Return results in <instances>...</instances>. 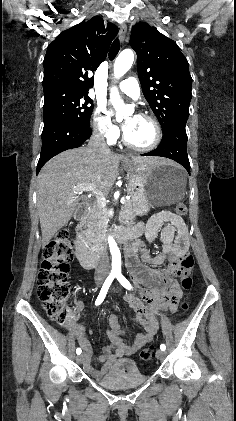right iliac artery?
Listing matches in <instances>:
<instances>
[{"label":"right iliac artery","instance_id":"right-iliac-artery-1","mask_svg":"<svg viewBox=\"0 0 236 421\" xmlns=\"http://www.w3.org/2000/svg\"><path fill=\"white\" fill-rule=\"evenodd\" d=\"M115 277H116L115 273H110V275L107 277V279L105 280V282H104V284L101 288V291H100V293H99V295H98V297L95 301V305H100L103 302V300H104V298H105V296L108 292V289H109V287H110V285L113 282ZM81 352H82V350L80 348L76 349V353L78 355L81 354Z\"/></svg>","mask_w":236,"mask_h":421}]
</instances>
